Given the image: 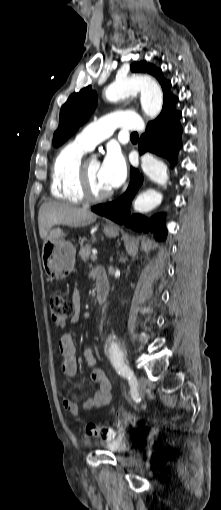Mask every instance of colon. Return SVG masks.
<instances>
[{"instance_id":"5ec220e1","label":"colon","mask_w":221,"mask_h":510,"mask_svg":"<svg viewBox=\"0 0 221 510\" xmlns=\"http://www.w3.org/2000/svg\"><path fill=\"white\" fill-rule=\"evenodd\" d=\"M50 312L53 322L62 327L74 314V306L67 297L61 293H56L50 298ZM117 415L121 416L124 421H136V416L125 411H118ZM85 432L91 437L111 438L114 431L110 428L99 427L95 424H86Z\"/></svg>"}]
</instances>
